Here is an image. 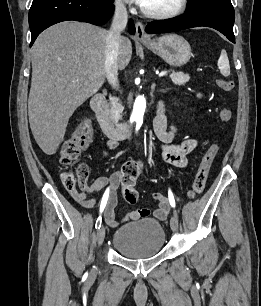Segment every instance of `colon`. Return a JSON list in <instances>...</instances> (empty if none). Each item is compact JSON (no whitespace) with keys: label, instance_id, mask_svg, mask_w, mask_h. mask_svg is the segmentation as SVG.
Segmentation results:
<instances>
[{"label":"colon","instance_id":"obj_1","mask_svg":"<svg viewBox=\"0 0 261 306\" xmlns=\"http://www.w3.org/2000/svg\"><path fill=\"white\" fill-rule=\"evenodd\" d=\"M218 86L225 92H231L234 89V81L229 79L217 80ZM219 117L223 122H229L232 113L229 109H221ZM91 124L83 120L77 126L73 135L62 145L60 153V162L65 167L76 166L75 171L62 174V181L66 188L75 189L76 186L83 188L88 177V169L83 164H78L81 154L87 149L92 140ZM220 152V146L215 144L205 153L198 167L194 182L189 191V196L194 198L198 196L205 188L210 168L216 156ZM142 173V163L140 161L126 162L119 174V182L123 189V196L129 203H135L138 199V192L135 188L137 179Z\"/></svg>","mask_w":261,"mask_h":306}]
</instances>
